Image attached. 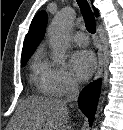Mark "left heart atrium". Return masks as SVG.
<instances>
[{"instance_id":"left-heart-atrium-1","label":"left heart atrium","mask_w":123,"mask_h":130,"mask_svg":"<svg viewBox=\"0 0 123 130\" xmlns=\"http://www.w3.org/2000/svg\"><path fill=\"white\" fill-rule=\"evenodd\" d=\"M71 70L79 81L87 80L96 68V58L89 50H78L70 59Z\"/></svg>"}]
</instances>
